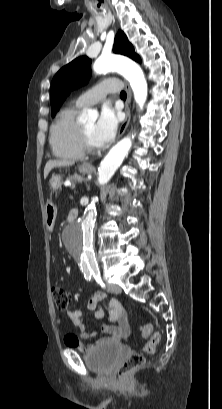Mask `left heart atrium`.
Segmentation results:
<instances>
[{
  "label": "left heart atrium",
  "mask_w": 222,
  "mask_h": 409,
  "mask_svg": "<svg viewBox=\"0 0 222 409\" xmlns=\"http://www.w3.org/2000/svg\"><path fill=\"white\" fill-rule=\"evenodd\" d=\"M118 122V117L113 109L110 107L102 109L93 134L97 147L105 146L114 138Z\"/></svg>",
  "instance_id": "obj_1"
}]
</instances>
